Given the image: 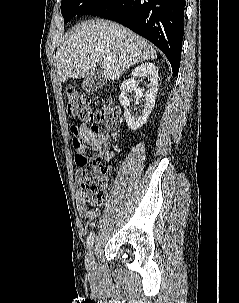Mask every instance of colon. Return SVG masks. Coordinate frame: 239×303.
Instances as JSON below:
<instances>
[{
    "label": "colon",
    "instance_id": "1",
    "mask_svg": "<svg viewBox=\"0 0 239 303\" xmlns=\"http://www.w3.org/2000/svg\"><path fill=\"white\" fill-rule=\"evenodd\" d=\"M66 107L70 116L88 122H104L113 127L116 120V111L103 104L99 109L92 110L89 96L77 89L66 91ZM110 163L107 159H98L92 166L84 170L79 178L81 193L85 204L100 206L106 200L107 174Z\"/></svg>",
    "mask_w": 239,
    "mask_h": 303
}]
</instances>
